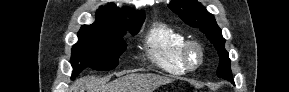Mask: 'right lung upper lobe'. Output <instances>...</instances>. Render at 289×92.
I'll list each match as a JSON object with an SVG mask.
<instances>
[{
  "label": "right lung upper lobe",
  "instance_id": "1",
  "mask_svg": "<svg viewBox=\"0 0 289 92\" xmlns=\"http://www.w3.org/2000/svg\"><path fill=\"white\" fill-rule=\"evenodd\" d=\"M130 15V20L125 17ZM145 20L144 11H130L119 9L114 4L101 6L96 12V21L90 25H83L82 28L98 30H121L125 28L136 27L143 24Z\"/></svg>",
  "mask_w": 289,
  "mask_h": 92
}]
</instances>
